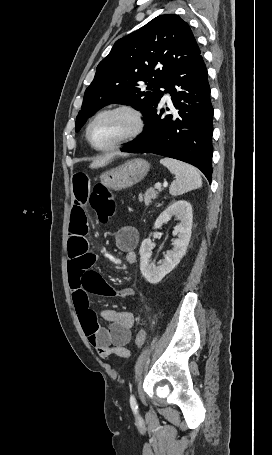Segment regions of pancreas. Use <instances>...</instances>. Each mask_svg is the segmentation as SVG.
<instances>
[{"instance_id":"pancreas-1","label":"pancreas","mask_w":272,"mask_h":455,"mask_svg":"<svg viewBox=\"0 0 272 455\" xmlns=\"http://www.w3.org/2000/svg\"><path fill=\"white\" fill-rule=\"evenodd\" d=\"M158 191H161V189L156 190L153 188H149L145 192V194H139V201L140 202L144 201L145 205H149L152 202V200L157 198Z\"/></svg>"}]
</instances>
